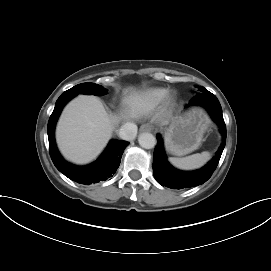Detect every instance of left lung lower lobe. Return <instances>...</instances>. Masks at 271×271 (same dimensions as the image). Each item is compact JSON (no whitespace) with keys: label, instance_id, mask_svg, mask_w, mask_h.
<instances>
[{"label":"left lung lower lobe","instance_id":"obj_1","mask_svg":"<svg viewBox=\"0 0 271 271\" xmlns=\"http://www.w3.org/2000/svg\"><path fill=\"white\" fill-rule=\"evenodd\" d=\"M202 105L211 115L212 119L219 125L222 133V144L213 159L203 168L197 171L184 172L173 168L165 157L163 141L157 135V146L153 155V173L159 184L173 189H182L198 186L206 182L216 169L226 143V126L222 116L221 105L211 92L206 91L193 97L189 105Z\"/></svg>","mask_w":271,"mask_h":271}]
</instances>
